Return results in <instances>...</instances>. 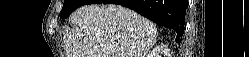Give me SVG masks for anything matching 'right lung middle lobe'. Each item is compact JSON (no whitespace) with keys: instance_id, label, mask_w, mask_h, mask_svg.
<instances>
[{"instance_id":"right-lung-middle-lobe-1","label":"right lung middle lobe","mask_w":249,"mask_h":57,"mask_svg":"<svg viewBox=\"0 0 249 57\" xmlns=\"http://www.w3.org/2000/svg\"><path fill=\"white\" fill-rule=\"evenodd\" d=\"M92 0H64L63 8L60 12V17H68L75 9L80 6L90 4Z\"/></svg>"}]
</instances>
